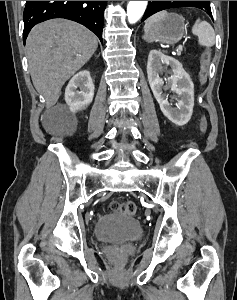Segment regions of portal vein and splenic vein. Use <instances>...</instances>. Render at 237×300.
Listing matches in <instances>:
<instances>
[{
	"label": "portal vein and splenic vein",
	"mask_w": 237,
	"mask_h": 300,
	"mask_svg": "<svg viewBox=\"0 0 237 300\" xmlns=\"http://www.w3.org/2000/svg\"><path fill=\"white\" fill-rule=\"evenodd\" d=\"M178 47H179L181 53H184V50H185V49L183 48V46L181 45V43H180V45H179Z\"/></svg>",
	"instance_id": "1"
}]
</instances>
